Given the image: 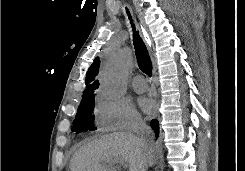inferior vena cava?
I'll list each match as a JSON object with an SVG mask.
<instances>
[{"label":"inferior vena cava","instance_id":"1","mask_svg":"<svg viewBox=\"0 0 245 171\" xmlns=\"http://www.w3.org/2000/svg\"><path fill=\"white\" fill-rule=\"evenodd\" d=\"M136 133L139 136L140 142L147 152L148 158L151 159L153 148V139L151 136V129L145 123H139L136 127ZM148 165L146 164L141 171H146Z\"/></svg>","mask_w":245,"mask_h":171}]
</instances>
